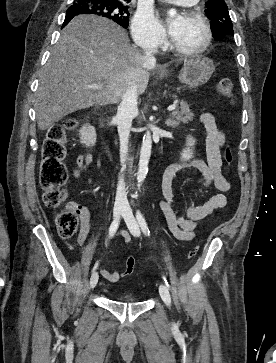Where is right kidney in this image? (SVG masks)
Listing matches in <instances>:
<instances>
[{"instance_id": "1", "label": "right kidney", "mask_w": 276, "mask_h": 363, "mask_svg": "<svg viewBox=\"0 0 276 363\" xmlns=\"http://www.w3.org/2000/svg\"><path fill=\"white\" fill-rule=\"evenodd\" d=\"M80 139L81 143L86 147H92L96 143V131L95 128L91 125H84L80 130Z\"/></svg>"}]
</instances>
